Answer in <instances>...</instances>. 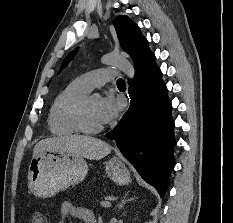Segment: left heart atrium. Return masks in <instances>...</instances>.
Here are the masks:
<instances>
[{"label": "left heart atrium", "mask_w": 233, "mask_h": 223, "mask_svg": "<svg viewBox=\"0 0 233 223\" xmlns=\"http://www.w3.org/2000/svg\"><path fill=\"white\" fill-rule=\"evenodd\" d=\"M120 105L113 95H107L99 100L97 116L102 125L113 122L119 115Z\"/></svg>", "instance_id": "39dd6f15"}]
</instances>
